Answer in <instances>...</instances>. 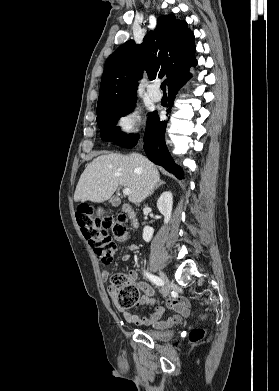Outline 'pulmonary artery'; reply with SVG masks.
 Returning a JSON list of instances; mask_svg holds the SVG:
<instances>
[{
  "mask_svg": "<svg viewBox=\"0 0 279 391\" xmlns=\"http://www.w3.org/2000/svg\"><path fill=\"white\" fill-rule=\"evenodd\" d=\"M148 95L149 97L155 101L158 102L162 99V94L161 92L157 89L155 84H152L148 87Z\"/></svg>",
  "mask_w": 279,
  "mask_h": 391,
  "instance_id": "pulmonary-artery-1",
  "label": "pulmonary artery"
}]
</instances>
